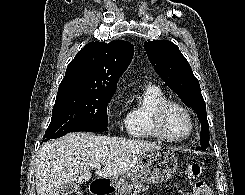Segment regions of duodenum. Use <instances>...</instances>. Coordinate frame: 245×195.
<instances>
[{"mask_svg": "<svg viewBox=\"0 0 245 195\" xmlns=\"http://www.w3.org/2000/svg\"><path fill=\"white\" fill-rule=\"evenodd\" d=\"M112 190L110 183L104 180H95L90 184V192L92 195H110Z\"/></svg>", "mask_w": 245, "mask_h": 195, "instance_id": "1", "label": "duodenum"}]
</instances>
